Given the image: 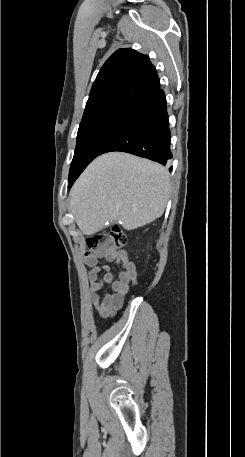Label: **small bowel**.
Returning a JSON list of instances; mask_svg holds the SVG:
<instances>
[{
	"mask_svg": "<svg viewBox=\"0 0 245 457\" xmlns=\"http://www.w3.org/2000/svg\"><path fill=\"white\" fill-rule=\"evenodd\" d=\"M103 259L120 266L121 270L116 277L108 265L99 264V257L96 255L86 257L84 263L90 267L87 278L94 310L101 318H110L123 306L131 286L137 283L138 274L135 263L124 250L112 253ZM108 285L111 286V292L100 298L99 292Z\"/></svg>",
	"mask_w": 245,
	"mask_h": 457,
	"instance_id": "1",
	"label": "small bowel"
}]
</instances>
